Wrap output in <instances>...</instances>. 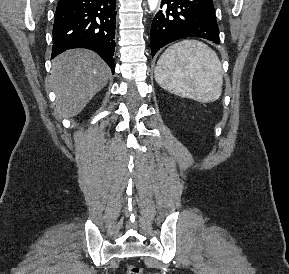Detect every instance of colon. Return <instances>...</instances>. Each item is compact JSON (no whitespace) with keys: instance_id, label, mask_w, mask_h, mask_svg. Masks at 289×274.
I'll use <instances>...</instances> for the list:
<instances>
[{"instance_id":"colon-1","label":"colon","mask_w":289,"mask_h":274,"mask_svg":"<svg viewBox=\"0 0 289 274\" xmlns=\"http://www.w3.org/2000/svg\"><path fill=\"white\" fill-rule=\"evenodd\" d=\"M126 274H143V269L139 266L130 265L127 268Z\"/></svg>"}]
</instances>
